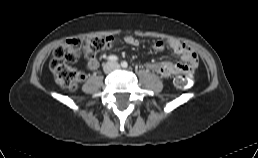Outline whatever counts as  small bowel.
Segmentation results:
<instances>
[{
  "label": "small bowel",
  "instance_id": "small-bowel-1",
  "mask_svg": "<svg viewBox=\"0 0 258 158\" xmlns=\"http://www.w3.org/2000/svg\"><path fill=\"white\" fill-rule=\"evenodd\" d=\"M107 41L109 48L113 43V38L109 36L107 37ZM125 42L132 46H139V41L133 36L125 37ZM166 46L180 56L181 62L160 61L148 63L146 67L161 77H170L179 74L191 75L194 72L198 62L196 53L186 44L175 38H167L165 40L158 41L153 45V48L154 50L158 51ZM86 65L88 69L93 71L98 68L99 63L95 56H88L86 58Z\"/></svg>",
  "mask_w": 258,
  "mask_h": 158
}]
</instances>
